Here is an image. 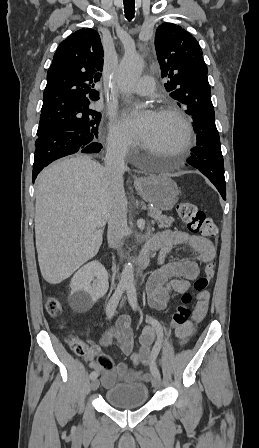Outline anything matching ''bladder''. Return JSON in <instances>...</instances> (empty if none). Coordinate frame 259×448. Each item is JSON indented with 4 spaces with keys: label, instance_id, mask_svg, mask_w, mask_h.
<instances>
[{
    "label": "bladder",
    "instance_id": "31cf9c89",
    "mask_svg": "<svg viewBox=\"0 0 259 448\" xmlns=\"http://www.w3.org/2000/svg\"><path fill=\"white\" fill-rule=\"evenodd\" d=\"M105 398L110 405L117 408H138L148 401L149 389L141 383L116 384L106 390Z\"/></svg>",
    "mask_w": 259,
    "mask_h": 448
}]
</instances>
